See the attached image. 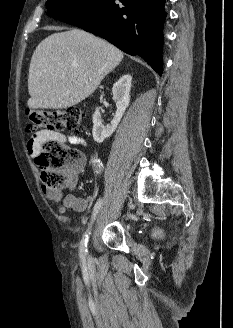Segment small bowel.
Masks as SVG:
<instances>
[{"label": "small bowel", "instance_id": "obj_1", "mask_svg": "<svg viewBox=\"0 0 233 328\" xmlns=\"http://www.w3.org/2000/svg\"><path fill=\"white\" fill-rule=\"evenodd\" d=\"M47 140H57L61 143L69 142L74 145H86V141L82 137H66L55 131L40 130L33 134L28 140V152L34 155ZM75 184L76 180H71L68 184V188H74ZM43 191L48 200L58 204L61 213H65L69 209H73L77 212H83L86 209L87 203L84 199L78 198L73 194L64 195L63 189H44Z\"/></svg>", "mask_w": 233, "mask_h": 328}]
</instances>
